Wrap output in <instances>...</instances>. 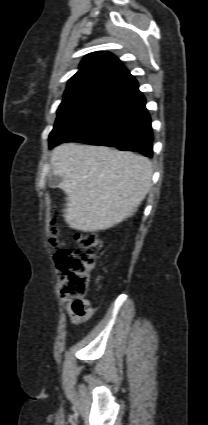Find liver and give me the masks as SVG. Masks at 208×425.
<instances>
[{
  "label": "liver",
  "mask_w": 208,
  "mask_h": 425,
  "mask_svg": "<svg viewBox=\"0 0 208 425\" xmlns=\"http://www.w3.org/2000/svg\"><path fill=\"white\" fill-rule=\"evenodd\" d=\"M67 198L64 219L75 230H107L130 217L151 188L148 158L104 146L64 143L51 158Z\"/></svg>",
  "instance_id": "liver-1"
}]
</instances>
